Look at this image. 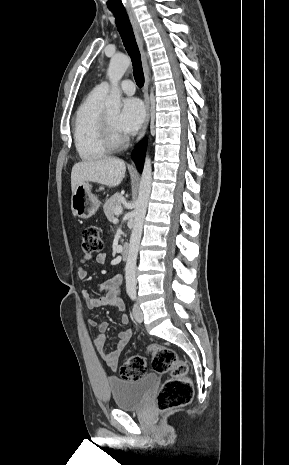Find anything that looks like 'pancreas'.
<instances>
[{
  "instance_id": "cf45deb5",
  "label": "pancreas",
  "mask_w": 289,
  "mask_h": 465,
  "mask_svg": "<svg viewBox=\"0 0 289 465\" xmlns=\"http://www.w3.org/2000/svg\"><path fill=\"white\" fill-rule=\"evenodd\" d=\"M121 199L122 195L116 193L105 202L103 209L109 221H111L114 218L115 210L121 206Z\"/></svg>"
}]
</instances>
